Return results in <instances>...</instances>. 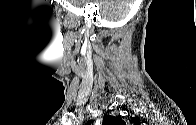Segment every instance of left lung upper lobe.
Listing matches in <instances>:
<instances>
[{
  "label": "left lung upper lobe",
  "mask_w": 196,
  "mask_h": 125,
  "mask_svg": "<svg viewBox=\"0 0 196 125\" xmlns=\"http://www.w3.org/2000/svg\"><path fill=\"white\" fill-rule=\"evenodd\" d=\"M103 125H125L121 117L105 116L103 119Z\"/></svg>",
  "instance_id": "obj_1"
}]
</instances>
